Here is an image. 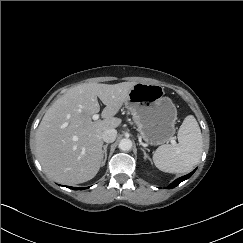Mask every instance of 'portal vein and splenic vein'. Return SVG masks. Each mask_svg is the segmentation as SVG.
<instances>
[{
  "mask_svg": "<svg viewBox=\"0 0 243 243\" xmlns=\"http://www.w3.org/2000/svg\"><path fill=\"white\" fill-rule=\"evenodd\" d=\"M99 117H100L99 114H94V115L92 116V119H93V120H98ZM172 143L175 144V140H173Z\"/></svg>",
  "mask_w": 243,
  "mask_h": 243,
  "instance_id": "portal-vein-and-splenic-vein-1",
  "label": "portal vein and splenic vein"
}]
</instances>
